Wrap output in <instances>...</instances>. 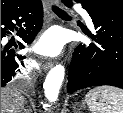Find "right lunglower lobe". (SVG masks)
<instances>
[{"label": "right lung lower lobe", "mask_w": 123, "mask_h": 113, "mask_svg": "<svg viewBox=\"0 0 123 113\" xmlns=\"http://www.w3.org/2000/svg\"><path fill=\"white\" fill-rule=\"evenodd\" d=\"M43 22V8L41 0H29L19 7H14L8 11L1 12V39L18 30L16 25L20 26L17 35L22 40L30 44L35 35L40 31ZM22 23L24 27L21 26ZM19 48L23 49L24 45L20 42ZM18 47V46H15ZM3 47L1 44V87L11 81L18 73H21L24 56L16 54L15 49Z\"/></svg>", "instance_id": "obj_1"}]
</instances>
